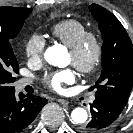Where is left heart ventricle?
Here are the masks:
<instances>
[{
    "label": "left heart ventricle",
    "instance_id": "obj_1",
    "mask_svg": "<svg viewBox=\"0 0 133 133\" xmlns=\"http://www.w3.org/2000/svg\"><path fill=\"white\" fill-rule=\"evenodd\" d=\"M92 55H93V47H92L91 44H89L86 47V49H85V51H84L81 59L84 60V61H88V60H90V58L92 57ZM68 59H69V62L70 63H73L76 58L69 52L68 53Z\"/></svg>",
    "mask_w": 133,
    "mask_h": 133
}]
</instances>
